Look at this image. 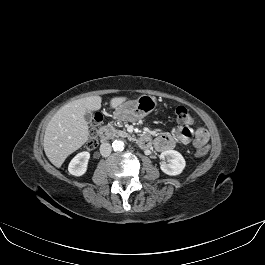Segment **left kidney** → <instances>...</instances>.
Instances as JSON below:
<instances>
[{"label": "left kidney", "instance_id": "1", "mask_svg": "<svg viewBox=\"0 0 265 265\" xmlns=\"http://www.w3.org/2000/svg\"><path fill=\"white\" fill-rule=\"evenodd\" d=\"M161 170L170 176L179 175L185 168L186 162L183 156L175 150H167L160 154Z\"/></svg>", "mask_w": 265, "mask_h": 265}]
</instances>
